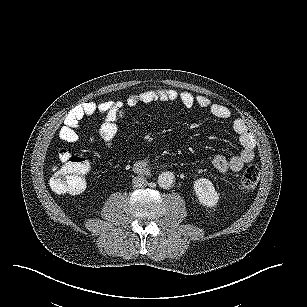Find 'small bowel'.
Here are the masks:
<instances>
[{"label": "small bowel", "instance_id": "small-bowel-1", "mask_svg": "<svg viewBox=\"0 0 307 307\" xmlns=\"http://www.w3.org/2000/svg\"><path fill=\"white\" fill-rule=\"evenodd\" d=\"M177 101L186 108L198 107L207 110L219 119L226 120L231 117V111L226 105L213 102L204 95H193L188 91L179 92L170 88L146 90L131 94L123 101L107 100L100 103L87 101L76 106L66 115L63 126L59 131V137L66 143L76 142L78 140L77 128L81 121L85 117L98 113L103 116V122L99 128V137L107 146H112L117 134L118 123L125 114L126 107L155 102ZM232 129L238 136L242 150L239 154L230 158L221 154L213 157L212 165L220 173L238 172L255 158L256 142L245 122L239 118L234 119Z\"/></svg>", "mask_w": 307, "mask_h": 307}]
</instances>
